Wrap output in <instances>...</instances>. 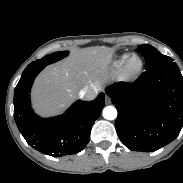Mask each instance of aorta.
I'll list each match as a JSON object with an SVG mask.
<instances>
[{
    "instance_id": "762f6f07",
    "label": "aorta",
    "mask_w": 183,
    "mask_h": 183,
    "mask_svg": "<svg viewBox=\"0 0 183 183\" xmlns=\"http://www.w3.org/2000/svg\"><path fill=\"white\" fill-rule=\"evenodd\" d=\"M103 117L107 120H114L117 117V110L113 106H107L103 109Z\"/></svg>"
}]
</instances>
